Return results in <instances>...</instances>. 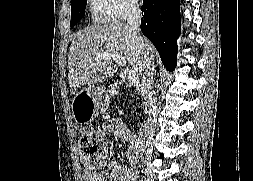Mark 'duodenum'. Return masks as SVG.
<instances>
[{"mask_svg": "<svg viewBox=\"0 0 253 181\" xmlns=\"http://www.w3.org/2000/svg\"><path fill=\"white\" fill-rule=\"evenodd\" d=\"M146 132H147V129H144V130L142 131L143 135H144Z\"/></svg>", "mask_w": 253, "mask_h": 181, "instance_id": "obj_1", "label": "duodenum"}]
</instances>
